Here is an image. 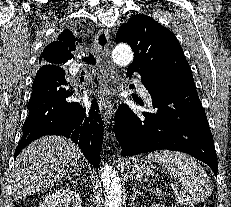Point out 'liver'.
<instances>
[{
    "label": "liver",
    "instance_id": "1",
    "mask_svg": "<svg viewBox=\"0 0 231 207\" xmlns=\"http://www.w3.org/2000/svg\"><path fill=\"white\" fill-rule=\"evenodd\" d=\"M81 156L79 147L62 136L32 142L16 159L10 182L12 196L19 199L49 187L77 167Z\"/></svg>",
    "mask_w": 231,
    "mask_h": 207
}]
</instances>
